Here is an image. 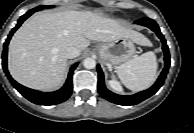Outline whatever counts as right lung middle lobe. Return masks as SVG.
Returning a JSON list of instances; mask_svg holds the SVG:
<instances>
[{
  "label": "right lung middle lobe",
  "mask_w": 194,
  "mask_h": 133,
  "mask_svg": "<svg viewBox=\"0 0 194 133\" xmlns=\"http://www.w3.org/2000/svg\"><path fill=\"white\" fill-rule=\"evenodd\" d=\"M52 7H54V6H38L34 9H32V12H36V11H39V10L44 9V8H52Z\"/></svg>",
  "instance_id": "right-lung-middle-lobe-1"
}]
</instances>
